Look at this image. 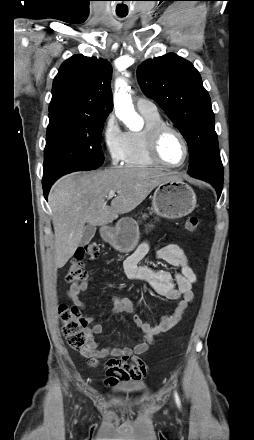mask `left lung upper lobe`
<instances>
[{
  "label": "left lung upper lobe",
  "instance_id": "1",
  "mask_svg": "<svg viewBox=\"0 0 254 440\" xmlns=\"http://www.w3.org/2000/svg\"><path fill=\"white\" fill-rule=\"evenodd\" d=\"M138 79L143 92L160 105L187 141L188 174L210 182L215 188L222 185L223 166L214 113L195 67L168 53L141 63Z\"/></svg>",
  "mask_w": 254,
  "mask_h": 440
}]
</instances>
